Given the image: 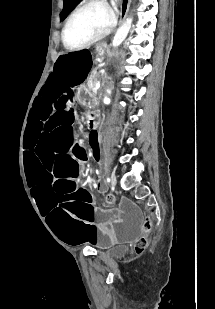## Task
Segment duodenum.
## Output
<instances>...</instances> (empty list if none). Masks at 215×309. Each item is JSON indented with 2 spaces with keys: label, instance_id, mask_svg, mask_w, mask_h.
<instances>
[{
  "label": "duodenum",
  "instance_id": "obj_1",
  "mask_svg": "<svg viewBox=\"0 0 215 309\" xmlns=\"http://www.w3.org/2000/svg\"><path fill=\"white\" fill-rule=\"evenodd\" d=\"M99 122H100L99 114H92L88 119V125L92 126L93 128H97L96 125H98Z\"/></svg>",
  "mask_w": 215,
  "mask_h": 309
}]
</instances>
